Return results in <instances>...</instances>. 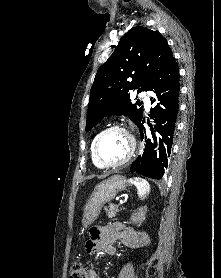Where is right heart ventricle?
Here are the masks:
<instances>
[{
  "instance_id": "1",
  "label": "right heart ventricle",
  "mask_w": 221,
  "mask_h": 278,
  "mask_svg": "<svg viewBox=\"0 0 221 278\" xmlns=\"http://www.w3.org/2000/svg\"><path fill=\"white\" fill-rule=\"evenodd\" d=\"M97 135H98V134H97ZM97 135L93 138V140H92V142H91V144H90V155H91V160H92L93 164H94L95 166H97V167H100V166L97 164V162L95 161L94 156H93V145H94V141H95Z\"/></svg>"
}]
</instances>
